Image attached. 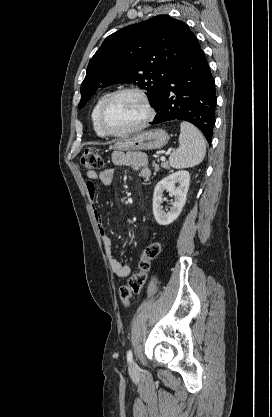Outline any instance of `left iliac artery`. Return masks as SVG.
I'll list each match as a JSON object with an SVG mask.
<instances>
[{
  "label": "left iliac artery",
  "mask_w": 272,
  "mask_h": 417,
  "mask_svg": "<svg viewBox=\"0 0 272 417\" xmlns=\"http://www.w3.org/2000/svg\"><path fill=\"white\" fill-rule=\"evenodd\" d=\"M132 358H133V355H132V350H129V351L127 352V361H128V362H132Z\"/></svg>",
  "instance_id": "left-iliac-artery-1"
}]
</instances>
